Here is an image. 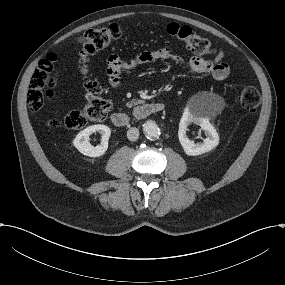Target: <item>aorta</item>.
Wrapping results in <instances>:
<instances>
[{
	"instance_id": "1",
	"label": "aorta",
	"mask_w": 285,
	"mask_h": 285,
	"mask_svg": "<svg viewBox=\"0 0 285 285\" xmlns=\"http://www.w3.org/2000/svg\"><path fill=\"white\" fill-rule=\"evenodd\" d=\"M143 132L145 136L151 140L159 137L160 135V129L158 125L152 120L147 121L143 125Z\"/></svg>"
}]
</instances>
